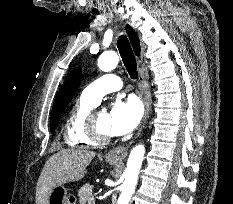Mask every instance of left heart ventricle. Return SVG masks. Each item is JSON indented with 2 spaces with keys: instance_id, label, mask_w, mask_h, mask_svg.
Here are the masks:
<instances>
[{
  "instance_id": "b2bd125f",
  "label": "left heart ventricle",
  "mask_w": 233,
  "mask_h": 204,
  "mask_svg": "<svg viewBox=\"0 0 233 204\" xmlns=\"http://www.w3.org/2000/svg\"><path fill=\"white\" fill-rule=\"evenodd\" d=\"M96 122H97V125H98L101 132L111 135V133H110V116H109L108 112H106V111L98 112L97 116H96Z\"/></svg>"
}]
</instances>
